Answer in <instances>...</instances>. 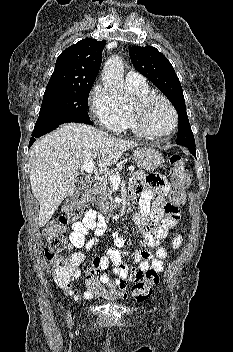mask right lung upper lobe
<instances>
[{"label":"right lung upper lobe","mask_w":233,"mask_h":352,"mask_svg":"<svg viewBox=\"0 0 233 352\" xmlns=\"http://www.w3.org/2000/svg\"><path fill=\"white\" fill-rule=\"evenodd\" d=\"M106 42L83 39L64 50L56 60L46 88H72L93 85L102 62Z\"/></svg>","instance_id":"1"}]
</instances>
